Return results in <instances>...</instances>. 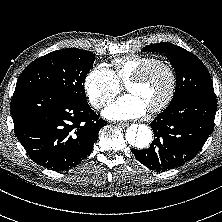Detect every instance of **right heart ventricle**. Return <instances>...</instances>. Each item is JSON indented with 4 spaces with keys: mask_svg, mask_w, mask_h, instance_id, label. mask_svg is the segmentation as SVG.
I'll use <instances>...</instances> for the list:
<instances>
[{
    "mask_svg": "<svg viewBox=\"0 0 222 222\" xmlns=\"http://www.w3.org/2000/svg\"><path fill=\"white\" fill-rule=\"evenodd\" d=\"M154 60L151 56L130 55L113 60L114 75L119 82H126L142 65Z\"/></svg>",
    "mask_w": 222,
    "mask_h": 222,
    "instance_id": "right-heart-ventricle-1",
    "label": "right heart ventricle"
}]
</instances>
